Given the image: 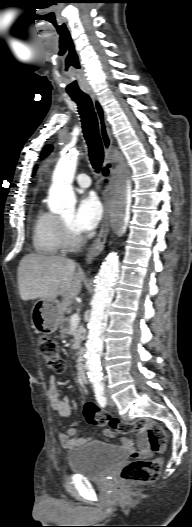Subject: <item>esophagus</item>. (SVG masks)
<instances>
[{
    "mask_svg": "<svg viewBox=\"0 0 192 527\" xmlns=\"http://www.w3.org/2000/svg\"><path fill=\"white\" fill-rule=\"evenodd\" d=\"M89 96L92 99L94 109L97 115L98 119V125H99V133L102 140L104 152H105V160L104 165H107L111 161V151H112V144L113 140L110 134L109 125L107 123L106 114L103 109V106L101 105L97 95L94 93V91L89 90L87 92ZM106 178L102 176V181L104 182ZM102 202L104 206V214L103 219L101 223V227L99 230V233L92 244V246L89 248L85 263L87 265L91 264L95 258L101 253V251L104 248L106 238L109 231V205H110V199H109V193L108 189L105 187V189L102 191Z\"/></svg>",
    "mask_w": 192,
    "mask_h": 527,
    "instance_id": "esophagus-1",
    "label": "esophagus"
}]
</instances>
